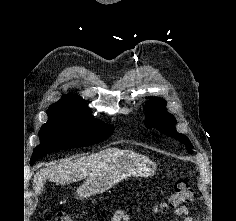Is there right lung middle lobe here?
Returning a JSON list of instances; mask_svg holds the SVG:
<instances>
[{
	"label": "right lung middle lobe",
	"instance_id": "right-lung-middle-lobe-1",
	"mask_svg": "<svg viewBox=\"0 0 236 221\" xmlns=\"http://www.w3.org/2000/svg\"><path fill=\"white\" fill-rule=\"evenodd\" d=\"M48 121L40 131V145L33 152L31 164L50 152L78 148L102 142L114 127L94 119L89 111L54 106L47 110Z\"/></svg>",
	"mask_w": 236,
	"mask_h": 221
}]
</instances>
